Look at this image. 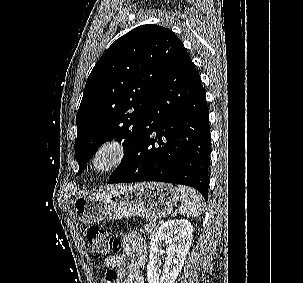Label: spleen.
<instances>
[{"mask_svg": "<svg viewBox=\"0 0 303 283\" xmlns=\"http://www.w3.org/2000/svg\"><path fill=\"white\" fill-rule=\"evenodd\" d=\"M181 206L179 213L186 217H198L203 211V201L201 195L193 188L178 186Z\"/></svg>", "mask_w": 303, "mask_h": 283, "instance_id": "1", "label": "spleen"}]
</instances>
